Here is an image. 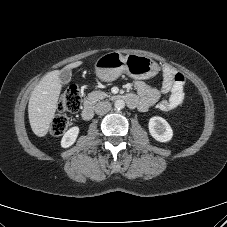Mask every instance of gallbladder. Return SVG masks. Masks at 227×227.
Instances as JSON below:
<instances>
[{
    "label": "gallbladder",
    "instance_id": "1",
    "mask_svg": "<svg viewBox=\"0 0 227 227\" xmlns=\"http://www.w3.org/2000/svg\"><path fill=\"white\" fill-rule=\"evenodd\" d=\"M72 73L70 69H63L59 74V79L62 84H67L70 82Z\"/></svg>",
    "mask_w": 227,
    "mask_h": 227
}]
</instances>
